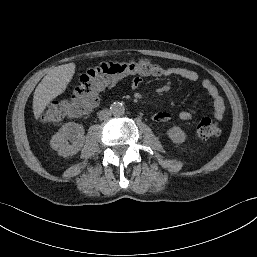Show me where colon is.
<instances>
[{"label":"colon","instance_id":"obj_1","mask_svg":"<svg viewBox=\"0 0 257 257\" xmlns=\"http://www.w3.org/2000/svg\"><path fill=\"white\" fill-rule=\"evenodd\" d=\"M160 73L158 65L148 58H137L122 62H104L89 68L81 75L70 101L49 106L41 115L46 123L58 122L69 116L82 115L98 103L99 92L115 82L138 76H155ZM201 139L220 136V123L213 118H202L196 128Z\"/></svg>","mask_w":257,"mask_h":257}]
</instances>
